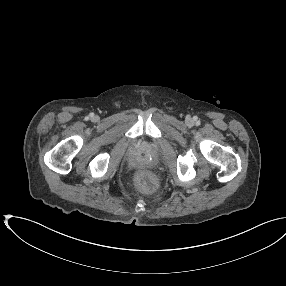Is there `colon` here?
<instances>
[{
	"label": "colon",
	"mask_w": 286,
	"mask_h": 286,
	"mask_svg": "<svg viewBox=\"0 0 286 286\" xmlns=\"http://www.w3.org/2000/svg\"><path fill=\"white\" fill-rule=\"evenodd\" d=\"M136 182L144 191H152L155 186L151 177L145 172H141L137 175Z\"/></svg>",
	"instance_id": "5ec220e1"
}]
</instances>
